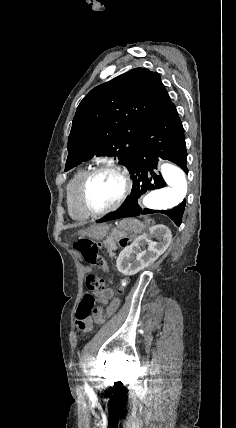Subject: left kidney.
<instances>
[{
  "mask_svg": "<svg viewBox=\"0 0 236 428\" xmlns=\"http://www.w3.org/2000/svg\"><path fill=\"white\" fill-rule=\"evenodd\" d=\"M151 238H156L157 242H153ZM172 234L163 224L152 226L149 228L148 234H143L134 240L131 246H126L120 252L116 260V268L118 272L124 276H134L140 270H144L155 260H158L161 254H164L171 242ZM148 246V248H145Z\"/></svg>",
  "mask_w": 236,
  "mask_h": 428,
  "instance_id": "left-kidney-1",
  "label": "left kidney"
}]
</instances>
